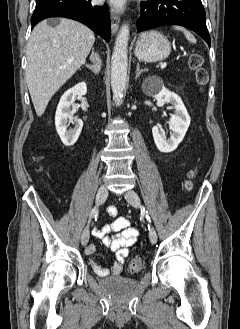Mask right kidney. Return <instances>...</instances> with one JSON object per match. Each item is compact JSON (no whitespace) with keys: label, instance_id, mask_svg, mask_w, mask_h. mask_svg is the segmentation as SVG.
Listing matches in <instances>:
<instances>
[{"label":"right kidney","instance_id":"right-kidney-1","mask_svg":"<svg viewBox=\"0 0 240 329\" xmlns=\"http://www.w3.org/2000/svg\"><path fill=\"white\" fill-rule=\"evenodd\" d=\"M86 93V83H78L62 95L57 106L55 115V126L57 133L65 146L74 145L82 131L83 121L74 117L75 109H71V107L73 106L76 96H82ZM73 121L75 124L74 129L67 130V123Z\"/></svg>","mask_w":240,"mask_h":329}]
</instances>
